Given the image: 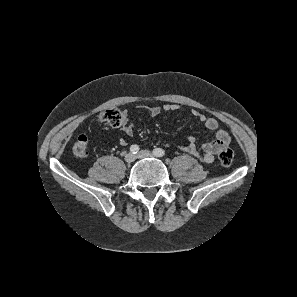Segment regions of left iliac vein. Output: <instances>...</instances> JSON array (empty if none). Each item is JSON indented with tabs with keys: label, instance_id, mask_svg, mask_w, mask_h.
Listing matches in <instances>:
<instances>
[{
	"label": "left iliac vein",
	"instance_id": "left-iliac-vein-1",
	"mask_svg": "<svg viewBox=\"0 0 297 297\" xmlns=\"http://www.w3.org/2000/svg\"><path fill=\"white\" fill-rule=\"evenodd\" d=\"M153 154L148 151V150H141L137 155L136 157L137 158H147V157H152Z\"/></svg>",
	"mask_w": 297,
	"mask_h": 297
}]
</instances>
